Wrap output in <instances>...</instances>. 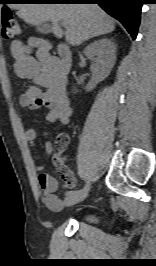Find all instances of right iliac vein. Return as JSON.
<instances>
[{
    "mask_svg": "<svg viewBox=\"0 0 156 266\" xmlns=\"http://www.w3.org/2000/svg\"><path fill=\"white\" fill-rule=\"evenodd\" d=\"M89 189L86 192H83L79 195L69 196L65 198L64 204L66 206H73L81 201H83L88 195Z\"/></svg>",
    "mask_w": 156,
    "mask_h": 266,
    "instance_id": "right-iliac-vein-1",
    "label": "right iliac vein"
}]
</instances>
